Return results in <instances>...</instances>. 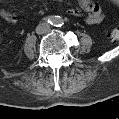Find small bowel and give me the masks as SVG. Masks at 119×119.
<instances>
[{"label":"small bowel","instance_id":"1","mask_svg":"<svg viewBox=\"0 0 119 119\" xmlns=\"http://www.w3.org/2000/svg\"><path fill=\"white\" fill-rule=\"evenodd\" d=\"M81 9L87 13L86 23L89 25L99 24L103 20V15L101 8L98 4L88 1L81 0L79 2ZM68 13L72 16H78L80 11L77 8H71L68 10ZM1 17L8 23H16V16L10 11L3 10L1 12Z\"/></svg>","mask_w":119,"mask_h":119}]
</instances>
